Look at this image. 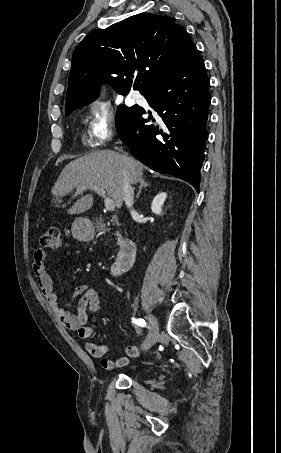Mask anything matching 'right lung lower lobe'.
Instances as JSON below:
<instances>
[{
	"mask_svg": "<svg viewBox=\"0 0 281 453\" xmlns=\"http://www.w3.org/2000/svg\"><path fill=\"white\" fill-rule=\"evenodd\" d=\"M209 79L199 54L177 72L145 93L160 116L153 121L149 111L121 105L116 115L120 139L132 155L149 168L189 182L197 191L207 139L206 122L211 101Z\"/></svg>",
	"mask_w": 281,
	"mask_h": 453,
	"instance_id": "right-lung-lower-lobe-1",
	"label": "right lung lower lobe"
}]
</instances>
